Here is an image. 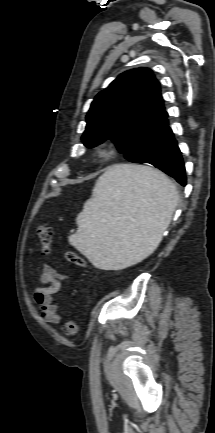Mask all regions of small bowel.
<instances>
[{"label": "small bowel", "mask_w": 215, "mask_h": 433, "mask_svg": "<svg viewBox=\"0 0 215 433\" xmlns=\"http://www.w3.org/2000/svg\"><path fill=\"white\" fill-rule=\"evenodd\" d=\"M67 279L66 275L59 273L51 265H43L40 275L42 286L35 289L33 299L39 306L41 315L47 323L57 324L61 321L62 316L55 303V296L60 291L62 283Z\"/></svg>", "instance_id": "c3829d8e"}]
</instances>
